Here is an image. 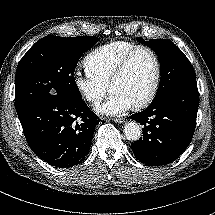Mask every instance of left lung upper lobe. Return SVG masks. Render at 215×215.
<instances>
[{"mask_svg": "<svg viewBox=\"0 0 215 215\" xmlns=\"http://www.w3.org/2000/svg\"><path fill=\"white\" fill-rule=\"evenodd\" d=\"M137 40L155 51L160 62L161 79L156 97L188 81L196 80L195 71L185 54L170 40Z\"/></svg>", "mask_w": 215, "mask_h": 215, "instance_id": "1", "label": "left lung upper lobe"}]
</instances>
